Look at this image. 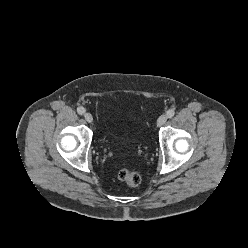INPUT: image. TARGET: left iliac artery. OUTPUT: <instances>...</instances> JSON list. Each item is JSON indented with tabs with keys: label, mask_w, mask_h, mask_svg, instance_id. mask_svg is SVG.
<instances>
[{
	"label": "left iliac artery",
	"mask_w": 248,
	"mask_h": 248,
	"mask_svg": "<svg viewBox=\"0 0 248 248\" xmlns=\"http://www.w3.org/2000/svg\"><path fill=\"white\" fill-rule=\"evenodd\" d=\"M175 114V111L174 109H169L167 112H166V115L168 118H172Z\"/></svg>",
	"instance_id": "obj_1"
}]
</instances>
